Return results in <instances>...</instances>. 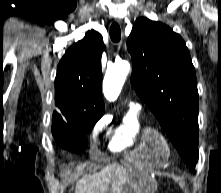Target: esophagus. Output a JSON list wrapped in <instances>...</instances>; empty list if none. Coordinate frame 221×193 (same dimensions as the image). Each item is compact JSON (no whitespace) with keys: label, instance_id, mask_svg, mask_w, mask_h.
Here are the masks:
<instances>
[{"label":"esophagus","instance_id":"esophagus-1","mask_svg":"<svg viewBox=\"0 0 221 193\" xmlns=\"http://www.w3.org/2000/svg\"><path fill=\"white\" fill-rule=\"evenodd\" d=\"M117 22H118L119 24H121V20L118 19Z\"/></svg>","mask_w":221,"mask_h":193}]
</instances>
